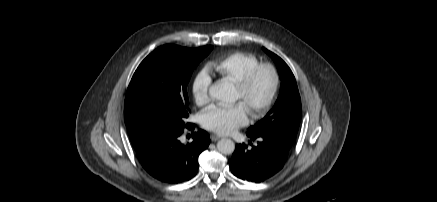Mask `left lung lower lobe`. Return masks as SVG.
Returning a JSON list of instances; mask_svg holds the SVG:
<instances>
[{"label":"left lung lower lobe","mask_w":437,"mask_h":202,"mask_svg":"<svg viewBox=\"0 0 437 202\" xmlns=\"http://www.w3.org/2000/svg\"><path fill=\"white\" fill-rule=\"evenodd\" d=\"M257 145L248 148L244 143L238 144L229 160L232 173L240 179L262 182L279 172L287 160L290 148L267 135L247 132Z\"/></svg>","instance_id":"left-lung-lower-lobe-1"}]
</instances>
